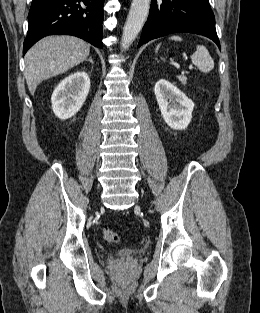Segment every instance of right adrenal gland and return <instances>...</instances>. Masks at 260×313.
I'll use <instances>...</instances> for the list:
<instances>
[{"label":"right adrenal gland","instance_id":"2a0ac1e0","mask_svg":"<svg viewBox=\"0 0 260 313\" xmlns=\"http://www.w3.org/2000/svg\"><path fill=\"white\" fill-rule=\"evenodd\" d=\"M87 61L91 62L92 64L94 63L92 60V57H89V59H87Z\"/></svg>","mask_w":260,"mask_h":313}]
</instances>
